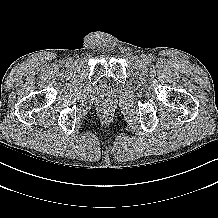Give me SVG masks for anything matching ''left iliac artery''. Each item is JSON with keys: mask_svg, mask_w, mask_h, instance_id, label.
<instances>
[{"mask_svg": "<svg viewBox=\"0 0 218 218\" xmlns=\"http://www.w3.org/2000/svg\"><path fill=\"white\" fill-rule=\"evenodd\" d=\"M150 60H151V61H152V60H154V57H153V56H151V55H150Z\"/></svg>", "mask_w": 218, "mask_h": 218, "instance_id": "obj_1", "label": "left iliac artery"}]
</instances>
